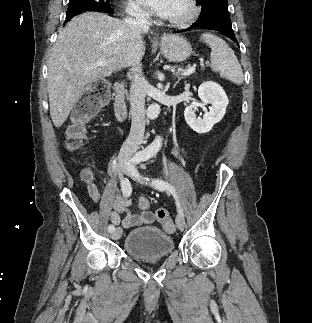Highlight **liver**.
<instances>
[{"mask_svg": "<svg viewBox=\"0 0 312 323\" xmlns=\"http://www.w3.org/2000/svg\"><path fill=\"white\" fill-rule=\"evenodd\" d=\"M145 44L137 48L122 20L101 12H85L60 28L48 60L50 116L55 128L67 120L85 86L104 80L120 68L142 60ZM95 62L107 66L91 68Z\"/></svg>", "mask_w": 312, "mask_h": 323, "instance_id": "1", "label": "liver"}]
</instances>
